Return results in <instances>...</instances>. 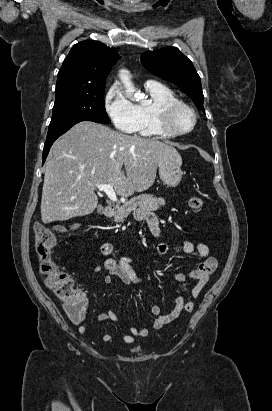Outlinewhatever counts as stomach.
<instances>
[{"mask_svg":"<svg viewBox=\"0 0 272 411\" xmlns=\"http://www.w3.org/2000/svg\"><path fill=\"white\" fill-rule=\"evenodd\" d=\"M161 180L169 187H176L182 178L181 164L174 160H164L158 164Z\"/></svg>","mask_w":272,"mask_h":411,"instance_id":"obj_1","label":"stomach"}]
</instances>
